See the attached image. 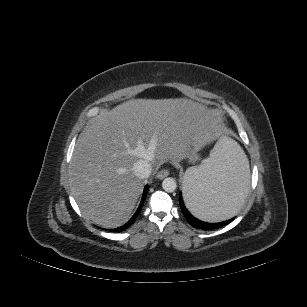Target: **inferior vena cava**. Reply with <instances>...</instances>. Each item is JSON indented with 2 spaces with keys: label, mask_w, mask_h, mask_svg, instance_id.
I'll use <instances>...</instances> for the list:
<instances>
[{
  "label": "inferior vena cava",
  "mask_w": 307,
  "mask_h": 307,
  "mask_svg": "<svg viewBox=\"0 0 307 307\" xmlns=\"http://www.w3.org/2000/svg\"><path fill=\"white\" fill-rule=\"evenodd\" d=\"M132 169H133L134 174L140 179L148 178L152 170L151 164L147 160H144V159L137 160L134 163Z\"/></svg>",
  "instance_id": "obj_1"
}]
</instances>
